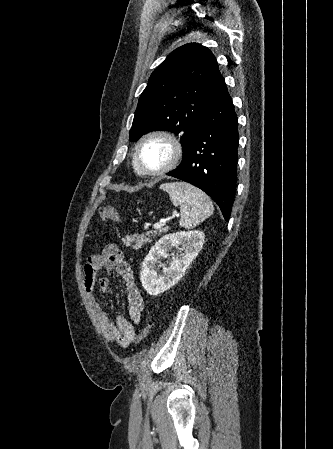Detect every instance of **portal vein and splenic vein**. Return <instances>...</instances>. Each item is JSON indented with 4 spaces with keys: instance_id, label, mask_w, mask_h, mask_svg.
<instances>
[{
    "instance_id": "18ae733b",
    "label": "portal vein and splenic vein",
    "mask_w": 333,
    "mask_h": 449,
    "mask_svg": "<svg viewBox=\"0 0 333 449\" xmlns=\"http://www.w3.org/2000/svg\"><path fill=\"white\" fill-rule=\"evenodd\" d=\"M174 217H175V214L172 216V218H174ZM166 222H167V221H160V222H158V223H155L154 226H153V228H154V229L161 228L162 226H164V225L166 224Z\"/></svg>"
}]
</instances>
